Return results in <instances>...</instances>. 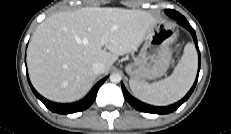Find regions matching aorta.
I'll list each match as a JSON object with an SVG mask.
<instances>
[{
  "label": "aorta",
  "instance_id": "1",
  "mask_svg": "<svg viewBox=\"0 0 231 134\" xmlns=\"http://www.w3.org/2000/svg\"><path fill=\"white\" fill-rule=\"evenodd\" d=\"M110 81L113 83H118L121 81V75L119 73H112L110 75Z\"/></svg>",
  "mask_w": 231,
  "mask_h": 134
}]
</instances>
